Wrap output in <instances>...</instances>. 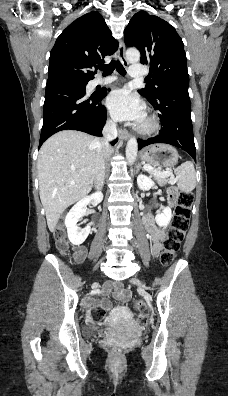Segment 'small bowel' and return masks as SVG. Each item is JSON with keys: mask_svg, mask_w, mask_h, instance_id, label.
Returning a JSON list of instances; mask_svg holds the SVG:
<instances>
[{"mask_svg": "<svg viewBox=\"0 0 228 396\" xmlns=\"http://www.w3.org/2000/svg\"><path fill=\"white\" fill-rule=\"evenodd\" d=\"M150 222L153 223L151 218H149L147 220V230H148V223H150ZM163 237H164V230L156 228V231H155L154 235H152V238L154 240L153 251H154L155 254H159L161 252V250H162L161 240H162ZM84 254H85V248L84 247H82V246L76 247L75 257H76L77 260L81 259ZM113 288H114V295H115L116 299H118L120 301H127L131 297V293L129 291H127V290H124L123 286L121 284H113L111 282H108V283L105 284L103 291H104V293L107 294ZM98 303H100L101 306L104 309L109 310V309L112 308V304H111V302H110V300L108 298H103L100 302H98L96 300H93L88 305V307L92 308V307L96 306ZM121 309L125 310L124 308H121Z\"/></svg>", "mask_w": 228, "mask_h": 396, "instance_id": "obj_1", "label": "small bowel"}]
</instances>
